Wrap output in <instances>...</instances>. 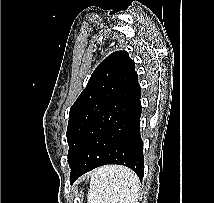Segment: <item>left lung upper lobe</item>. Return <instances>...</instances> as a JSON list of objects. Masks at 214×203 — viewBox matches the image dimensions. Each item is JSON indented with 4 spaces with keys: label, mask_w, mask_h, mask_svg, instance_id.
<instances>
[{
    "label": "left lung upper lobe",
    "mask_w": 214,
    "mask_h": 203,
    "mask_svg": "<svg viewBox=\"0 0 214 203\" xmlns=\"http://www.w3.org/2000/svg\"><path fill=\"white\" fill-rule=\"evenodd\" d=\"M135 73L134 62L126 51L113 52L97 66L86 88L70 108L66 134L69 165L90 125Z\"/></svg>",
    "instance_id": "1"
}]
</instances>
